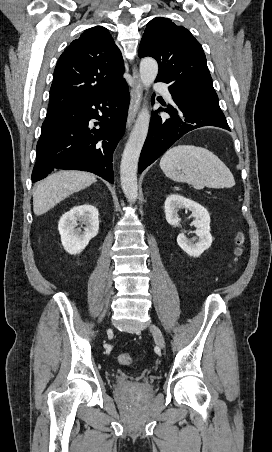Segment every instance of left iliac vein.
Segmentation results:
<instances>
[{"label": "left iliac vein", "instance_id": "1", "mask_svg": "<svg viewBox=\"0 0 272 452\" xmlns=\"http://www.w3.org/2000/svg\"><path fill=\"white\" fill-rule=\"evenodd\" d=\"M150 331L152 332L155 342L156 344L161 348L164 349L165 348V340L163 337V334L161 332V330L154 324H152L150 326Z\"/></svg>", "mask_w": 272, "mask_h": 452}]
</instances>
